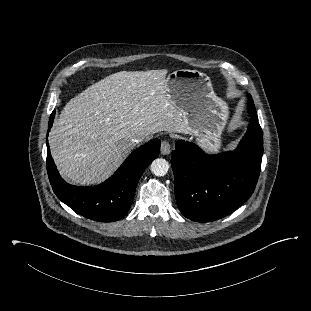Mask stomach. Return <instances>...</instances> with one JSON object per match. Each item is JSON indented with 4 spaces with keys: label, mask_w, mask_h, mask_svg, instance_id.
<instances>
[{
    "label": "stomach",
    "mask_w": 311,
    "mask_h": 311,
    "mask_svg": "<svg viewBox=\"0 0 311 311\" xmlns=\"http://www.w3.org/2000/svg\"><path fill=\"white\" fill-rule=\"evenodd\" d=\"M172 101L183 111L184 120L209 152L221 147V133L228 119V106L218 98L210 78L203 72L179 69L166 78Z\"/></svg>",
    "instance_id": "obj_1"
}]
</instances>
